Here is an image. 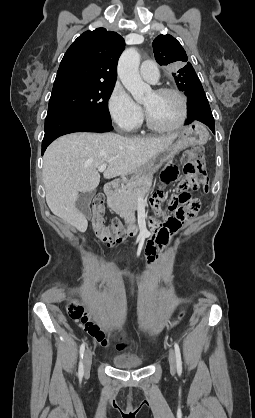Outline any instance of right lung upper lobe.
Instances as JSON below:
<instances>
[{
    "label": "right lung upper lobe",
    "instance_id": "1",
    "mask_svg": "<svg viewBox=\"0 0 255 418\" xmlns=\"http://www.w3.org/2000/svg\"><path fill=\"white\" fill-rule=\"evenodd\" d=\"M125 42L116 32L97 28L81 34L66 51L54 85L68 81L115 84Z\"/></svg>",
    "mask_w": 255,
    "mask_h": 418
}]
</instances>
